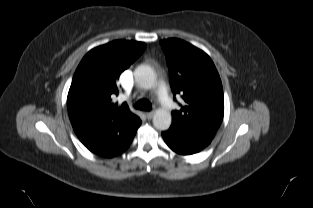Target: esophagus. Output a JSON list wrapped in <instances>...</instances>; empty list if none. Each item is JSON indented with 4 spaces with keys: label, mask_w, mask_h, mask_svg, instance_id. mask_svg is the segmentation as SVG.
Returning <instances> with one entry per match:
<instances>
[{
    "label": "esophagus",
    "mask_w": 313,
    "mask_h": 208,
    "mask_svg": "<svg viewBox=\"0 0 313 208\" xmlns=\"http://www.w3.org/2000/svg\"><path fill=\"white\" fill-rule=\"evenodd\" d=\"M145 115H146L147 119L150 120V119H152L153 116H154V111L146 112Z\"/></svg>",
    "instance_id": "1"
}]
</instances>
